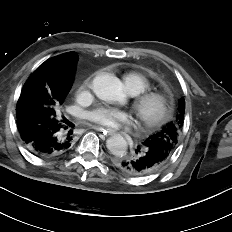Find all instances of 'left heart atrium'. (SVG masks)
<instances>
[{
    "label": "left heart atrium",
    "mask_w": 232,
    "mask_h": 232,
    "mask_svg": "<svg viewBox=\"0 0 232 232\" xmlns=\"http://www.w3.org/2000/svg\"><path fill=\"white\" fill-rule=\"evenodd\" d=\"M88 118L91 122L109 129H116L130 122L127 112L109 107H101L92 111L88 114Z\"/></svg>",
    "instance_id": "1"
}]
</instances>
